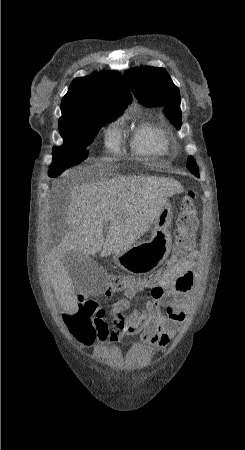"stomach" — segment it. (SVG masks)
I'll list each match as a JSON object with an SVG mask.
<instances>
[{"mask_svg":"<svg viewBox=\"0 0 245 450\" xmlns=\"http://www.w3.org/2000/svg\"><path fill=\"white\" fill-rule=\"evenodd\" d=\"M171 221L172 207L167 201L154 221L150 240L139 242L127 251L115 254L114 262L135 275H143L158 268L171 252L172 238L169 232Z\"/></svg>","mask_w":245,"mask_h":450,"instance_id":"1","label":"stomach"}]
</instances>
